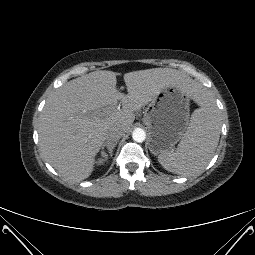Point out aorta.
Here are the masks:
<instances>
[{"label": "aorta", "instance_id": "1", "mask_svg": "<svg viewBox=\"0 0 255 255\" xmlns=\"http://www.w3.org/2000/svg\"><path fill=\"white\" fill-rule=\"evenodd\" d=\"M132 138L135 142L141 143L143 141H145L146 139V133L143 129L141 128H136L134 129V131L132 132Z\"/></svg>", "mask_w": 255, "mask_h": 255}]
</instances>
